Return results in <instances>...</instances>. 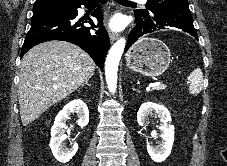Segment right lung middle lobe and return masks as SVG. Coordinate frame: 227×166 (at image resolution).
<instances>
[{"instance_id": "1", "label": "right lung middle lobe", "mask_w": 227, "mask_h": 166, "mask_svg": "<svg viewBox=\"0 0 227 166\" xmlns=\"http://www.w3.org/2000/svg\"><path fill=\"white\" fill-rule=\"evenodd\" d=\"M73 9L72 5H35L33 7V16L32 20L39 19L41 17L58 14V13H69Z\"/></svg>"}]
</instances>
